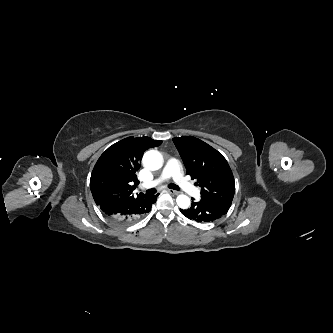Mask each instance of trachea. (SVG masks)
<instances>
[{
    "mask_svg": "<svg viewBox=\"0 0 333 333\" xmlns=\"http://www.w3.org/2000/svg\"><path fill=\"white\" fill-rule=\"evenodd\" d=\"M168 188L174 189V190H179L180 189L177 185L172 184V183L168 185ZM155 193H156V189H154V188L149 189V190L146 191L147 195H153Z\"/></svg>",
    "mask_w": 333,
    "mask_h": 333,
    "instance_id": "obj_1",
    "label": "trachea"
}]
</instances>
